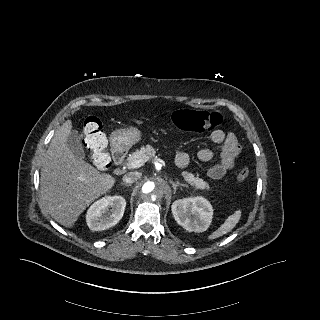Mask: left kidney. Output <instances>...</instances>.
I'll return each instance as SVG.
<instances>
[{
    "label": "left kidney",
    "mask_w": 320,
    "mask_h": 320,
    "mask_svg": "<svg viewBox=\"0 0 320 320\" xmlns=\"http://www.w3.org/2000/svg\"><path fill=\"white\" fill-rule=\"evenodd\" d=\"M175 221L189 232H204L208 229L213 208L203 197L184 198L172 204Z\"/></svg>",
    "instance_id": "left-kidney-1"
}]
</instances>
